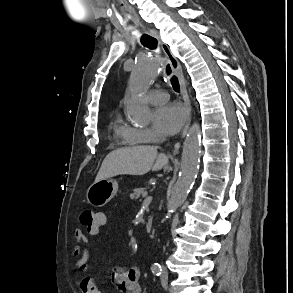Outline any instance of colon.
Here are the masks:
<instances>
[{
	"label": "colon",
	"mask_w": 293,
	"mask_h": 293,
	"mask_svg": "<svg viewBox=\"0 0 293 293\" xmlns=\"http://www.w3.org/2000/svg\"><path fill=\"white\" fill-rule=\"evenodd\" d=\"M98 213L90 210L85 209L82 211L80 215L81 224L86 228L88 232H95L100 229L101 227V220L97 215ZM99 288L93 286L91 288V293H98Z\"/></svg>",
	"instance_id": "5ec220e1"
}]
</instances>
